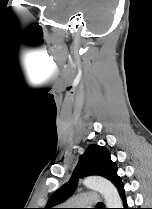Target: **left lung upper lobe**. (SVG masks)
Returning a JSON list of instances; mask_svg holds the SVG:
<instances>
[{"label": "left lung upper lobe", "instance_id": "left-lung-upper-lobe-1", "mask_svg": "<svg viewBox=\"0 0 152 209\" xmlns=\"http://www.w3.org/2000/svg\"><path fill=\"white\" fill-rule=\"evenodd\" d=\"M116 172L117 167L110 159L109 150L91 144L86 148L84 154L79 157V162L70 180L51 195L45 208L42 209H55L54 206L69 198L77 188L79 177L88 175L102 176L110 180L118 188L122 182Z\"/></svg>", "mask_w": 152, "mask_h": 209}]
</instances>
